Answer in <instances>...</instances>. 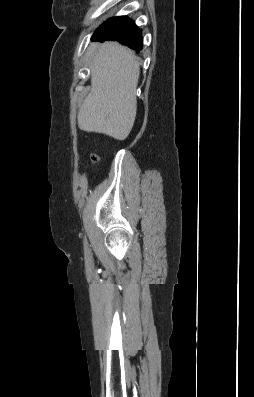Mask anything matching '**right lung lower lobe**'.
<instances>
[{
  "label": "right lung lower lobe",
  "mask_w": 254,
  "mask_h": 397,
  "mask_svg": "<svg viewBox=\"0 0 254 397\" xmlns=\"http://www.w3.org/2000/svg\"><path fill=\"white\" fill-rule=\"evenodd\" d=\"M92 41H118L139 53L143 47L140 29L134 21L125 17H113L104 22L93 34Z\"/></svg>",
  "instance_id": "98d812e1"
}]
</instances>
